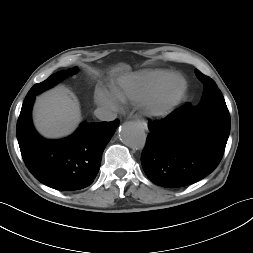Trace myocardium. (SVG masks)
<instances>
[{
    "mask_svg": "<svg viewBox=\"0 0 253 253\" xmlns=\"http://www.w3.org/2000/svg\"><path fill=\"white\" fill-rule=\"evenodd\" d=\"M187 90V82L181 75H174L158 87L145 102V108L153 117L169 115L179 104Z\"/></svg>",
    "mask_w": 253,
    "mask_h": 253,
    "instance_id": "myocardium-1",
    "label": "myocardium"
}]
</instances>
